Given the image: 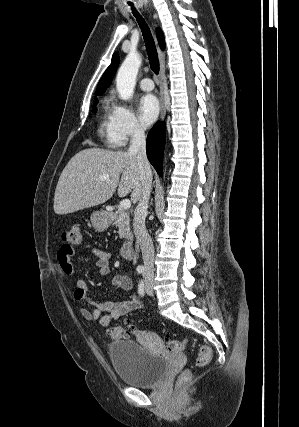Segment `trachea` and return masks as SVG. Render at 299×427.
I'll return each mask as SVG.
<instances>
[{
    "mask_svg": "<svg viewBox=\"0 0 299 427\" xmlns=\"http://www.w3.org/2000/svg\"><path fill=\"white\" fill-rule=\"evenodd\" d=\"M132 13L136 17V20L140 26L141 32L143 34V38L146 45V50L148 54V59L150 62V67L152 71L157 75L159 73V59L158 54L155 46V42L153 40L151 31L146 24L145 20L142 18V16L137 12L133 4H130Z\"/></svg>",
    "mask_w": 299,
    "mask_h": 427,
    "instance_id": "obj_1",
    "label": "trachea"
}]
</instances>
